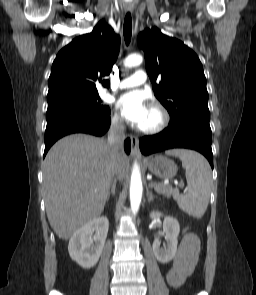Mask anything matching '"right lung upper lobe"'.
<instances>
[{"instance_id": "right-lung-upper-lobe-1", "label": "right lung upper lobe", "mask_w": 256, "mask_h": 295, "mask_svg": "<svg viewBox=\"0 0 256 295\" xmlns=\"http://www.w3.org/2000/svg\"><path fill=\"white\" fill-rule=\"evenodd\" d=\"M120 49V37L104 21L57 54L48 80L47 100L66 94H98L95 81L111 72ZM109 87L108 81L102 82Z\"/></svg>"}]
</instances>
